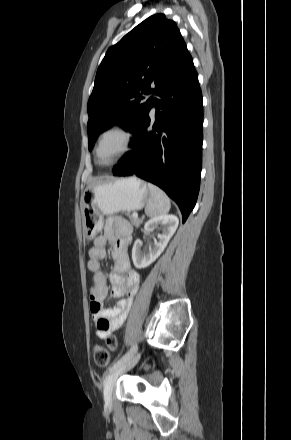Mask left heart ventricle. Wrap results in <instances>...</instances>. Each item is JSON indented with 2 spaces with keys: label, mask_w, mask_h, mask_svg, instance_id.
Segmentation results:
<instances>
[{
  "label": "left heart ventricle",
  "mask_w": 291,
  "mask_h": 440,
  "mask_svg": "<svg viewBox=\"0 0 291 440\" xmlns=\"http://www.w3.org/2000/svg\"><path fill=\"white\" fill-rule=\"evenodd\" d=\"M120 141L117 137H110L106 140L104 145L102 146L99 159L100 160H108L111 157L115 156L120 150Z\"/></svg>",
  "instance_id": "1"
}]
</instances>
